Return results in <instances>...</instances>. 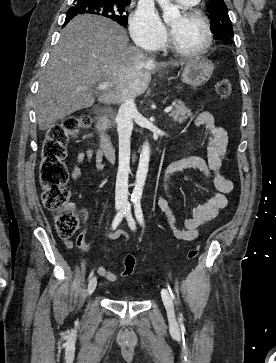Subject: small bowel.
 I'll return each instance as SVG.
<instances>
[{"instance_id": "obj_1", "label": "small bowel", "mask_w": 276, "mask_h": 363, "mask_svg": "<svg viewBox=\"0 0 276 363\" xmlns=\"http://www.w3.org/2000/svg\"><path fill=\"white\" fill-rule=\"evenodd\" d=\"M194 124L204 126L209 132L207 160L201 157H189L183 160L172 163L166 170L164 177V189L166 196L157 198V205L165 214L169 227L176 240L181 242H190L195 240L200 232V228L213 220L218 212L227 206V194L234 189L233 182L223 176L220 172L224 163L226 150L228 146V135L226 130L215 123L214 116L208 111L200 112ZM94 161L97 169H102L104 166L101 153H95L92 149H87L84 152L76 154V164L71 170V178L76 180L82 174V169L85 164ZM194 169L200 171L207 179L211 180L217 189V193L212 195L206 202L192 208L189 216L183 220H178L170 203V180L172 176L183 170ZM83 228L76 239L77 247L86 252L90 249V242L87 240L89 214L86 209H78ZM120 236L127 237L121 231L110 232L109 237L116 239ZM68 248L72 247L71 242H66ZM97 275L106 278L110 282L118 280V274L106 270L103 266H98L95 269ZM124 275V274H123Z\"/></svg>"}]
</instances>
